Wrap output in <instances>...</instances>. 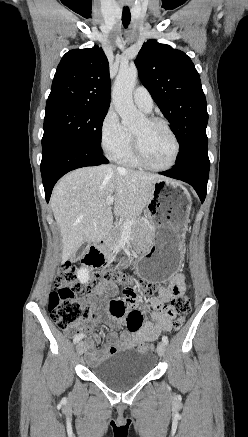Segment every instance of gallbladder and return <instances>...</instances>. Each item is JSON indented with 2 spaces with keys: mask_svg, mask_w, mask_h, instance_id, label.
Listing matches in <instances>:
<instances>
[{
  "mask_svg": "<svg viewBox=\"0 0 248 437\" xmlns=\"http://www.w3.org/2000/svg\"><path fill=\"white\" fill-rule=\"evenodd\" d=\"M86 247H87V244H83V245L79 248V250H78L77 253L75 254V258H76V259L80 258V257L83 255V253H84Z\"/></svg>",
  "mask_w": 248,
  "mask_h": 437,
  "instance_id": "1",
  "label": "gallbladder"
}]
</instances>
